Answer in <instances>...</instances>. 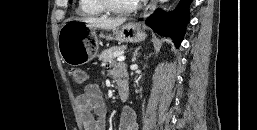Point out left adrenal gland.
<instances>
[{"label": "left adrenal gland", "instance_id": "a2214340", "mask_svg": "<svg viewBox=\"0 0 257 130\" xmlns=\"http://www.w3.org/2000/svg\"><path fill=\"white\" fill-rule=\"evenodd\" d=\"M140 47L137 48L134 52V55H133V61L135 62L137 60V56H138V51H139Z\"/></svg>", "mask_w": 257, "mask_h": 130}]
</instances>
